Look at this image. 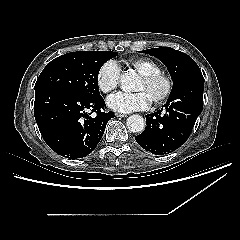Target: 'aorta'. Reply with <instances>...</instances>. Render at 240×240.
<instances>
[{"label": "aorta", "instance_id": "1", "mask_svg": "<svg viewBox=\"0 0 240 240\" xmlns=\"http://www.w3.org/2000/svg\"><path fill=\"white\" fill-rule=\"evenodd\" d=\"M136 75L132 71H127L121 75L120 86L123 91H130L134 88ZM127 128L133 133H142L145 129V121L142 116L133 114L126 121Z\"/></svg>", "mask_w": 240, "mask_h": 240}]
</instances>
